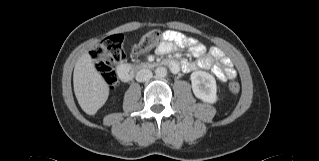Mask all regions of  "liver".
Returning a JSON list of instances; mask_svg holds the SVG:
<instances>
[{
	"label": "liver",
	"instance_id": "1",
	"mask_svg": "<svg viewBox=\"0 0 319 161\" xmlns=\"http://www.w3.org/2000/svg\"><path fill=\"white\" fill-rule=\"evenodd\" d=\"M73 85L78 103L86 114L94 115L108 99L109 86L96 70L88 52L75 64Z\"/></svg>",
	"mask_w": 319,
	"mask_h": 161
}]
</instances>
